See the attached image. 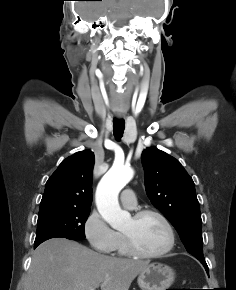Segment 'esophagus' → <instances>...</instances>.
I'll return each instance as SVG.
<instances>
[{
  "mask_svg": "<svg viewBox=\"0 0 236 290\" xmlns=\"http://www.w3.org/2000/svg\"><path fill=\"white\" fill-rule=\"evenodd\" d=\"M122 116H123L122 114H119V115H118V117H122Z\"/></svg>",
  "mask_w": 236,
  "mask_h": 290,
  "instance_id": "obj_1",
  "label": "esophagus"
}]
</instances>
